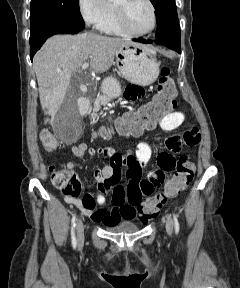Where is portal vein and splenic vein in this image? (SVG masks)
Here are the masks:
<instances>
[{
  "mask_svg": "<svg viewBox=\"0 0 240 288\" xmlns=\"http://www.w3.org/2000/svg\"><path fill=\"white\" fill-rule=\"evenodd\" d=\"M88 67H89V63H88V62H85V63L82 64L81 69H82V70H85V69H87Z\"/></svg>",
  "mask_w": 240,
  "mask_h": 288,
  "instance_id": "obj_1",
  "label": "portal vein and splenic vein"
}]
</instances>
